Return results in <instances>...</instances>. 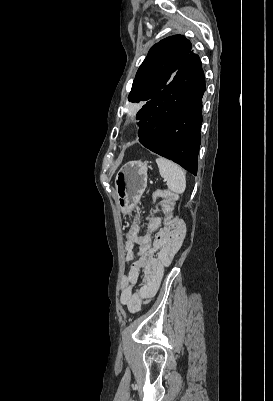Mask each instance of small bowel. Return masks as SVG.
<instances>
[{"mask_svg": "<svg viewBox=\"0 0 273 401\" xmlns=\"http://www.w3.org/2000/svg\"><path fill=\"white\" fill-rule=\"evenodd\" d=\"M131 221L136 223L139 218L133 216ZM147 221L150 223L148 232L142 233L143 224H135L126 235L127 258L136 255V259L121 280L120 302L131 313L138 312L144 303L155 296L164 268L171 264L182 244V241H156L152 232L160 227V218L150 215ZM142 275H151L152 283L142 284Z\"/></svg>", "mask_w": 273, "mask_h": 401, "instance_id": "obj_1", "label": "small bowel"}]
</instances>
